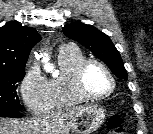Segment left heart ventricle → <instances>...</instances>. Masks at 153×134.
<instances>
[{
    "label": "left heart ventricle",
    "instance_id": "1",
    "mask_svg": "<svg viewBox=\"0 0 153 134\" xmlns=\"http://www.w3.org/2000/svg\"><path fill=\"white\" fill-rule=\"evenodd\" d=\"M109 76L100 67L92 65L85 75V87L91 94L99 95L108 92L111 88Z\"/></svg>",
    "mask_w": 153,
    "mask_h": 134
}]
</instances>
